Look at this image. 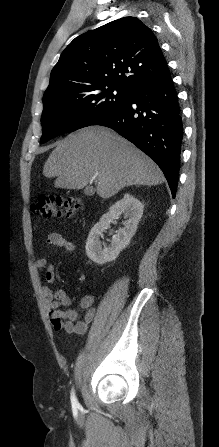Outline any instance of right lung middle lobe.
I'll return each mask as SVG.
<instances>
[{
    "label": "right lung middle lobe",
    "instance_id": "dd1d6c3e",
    "mask_svg": "<svg viewBox=\"0 0 219 447\" xmlns=\"http://www.w3.org/2000/svg\"><path fill=\"white\" fill-rule=\"evenodd\" d=\"M132 92L117 85H103L87 93H53L43 97L41 143L66 132L90 126L110 110L126 103Z\"/></svg>",
    "mask_w": 219,
    "mask_h": 447
}]
</instances>
